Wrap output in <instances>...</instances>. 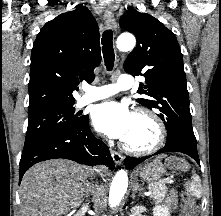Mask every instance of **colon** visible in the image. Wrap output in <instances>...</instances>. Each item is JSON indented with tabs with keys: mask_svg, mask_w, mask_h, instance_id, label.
<instances>
[{
	"mask_svg": "<svg viewBox=\"0 0 221 216\" xmlns=\"http://www.w3.org/2000/svg\"><path fill=\"white\" fill-rule=\"evenodd\" d=\"M168 167L174 171L183 169V161L179 158H171L167 162ZM183 201V213L184 216H198L197 205L194 198L187 192H183L181 195Z\"/></svg>",
	"mask_w": 221,
	"mask_h": 216,
	"instance_id": "colon-1",
	"label": "colon"
}]
</instances>
